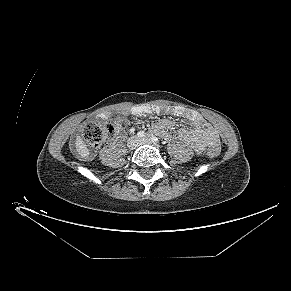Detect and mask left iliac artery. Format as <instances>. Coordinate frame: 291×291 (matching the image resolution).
I'll return each mask as SVG.
<instances>
[{
	"mask_svg": "<svg viewBox=\"0 0 291 291\" xmlns=\"http://www.w3.org/2000/svg\"><path fill=\"white\" fill-rule=\"evenodd\" d=\"M151 140H152L154 143H158V142H159L158 138H157L156 136H154V135H152Z\"/></svg>",
	"mask_w": 291,
	"mask_h": 291,
	"instance_id": "obj_1",
	"label": "left iliac artery"
}]
</instances>
